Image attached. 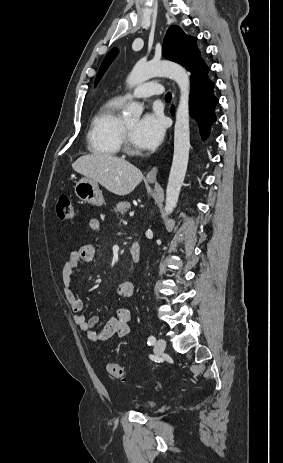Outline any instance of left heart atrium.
<instances>
[{
  "label": "left heart atrium",
  "instance_id": "left-heart-atrium-1",
  "mask_svg": "<svg viewBox=\"0 0 283 463\" xmlns=\"http://www.w3.org/2000/svg\"><path fill=\"white\" fill-rule=\"evenodd\" d=\"M165 134V123L161 114L146 113L136 124L133 132L134 141L140 149H155Z\"/></svg>",
  "mask_w": 283,
  "mask_h": 463
}]
</instances>
